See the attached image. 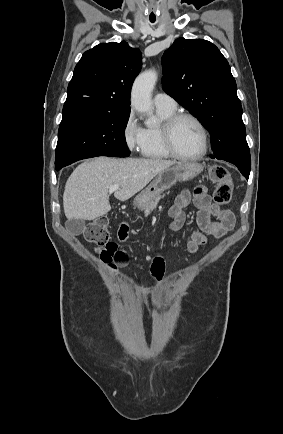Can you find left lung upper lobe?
<instances>
[{
  "instance_id": "left-lung-upper-lobe-1",
  "label": "left lung upper lobe",
  "mask_w": 283,
  "mask_h": 434,
  "mask_svg": "<svg viewBox=\"0 0 283 434\" xmlns=\"http://www.w3.org/2000/svg\"><path fill=\"white\" fill-rule=\"evenodd\" d=\"M162 65L163 90L209 131L211 158L250 164L236 82L220 50L207 40L178 38Z\"/></svg>"
}]
</instances>
